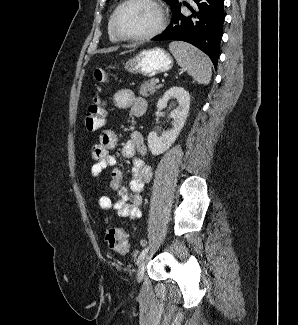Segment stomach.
Segmentation results:
<instances>
[{
    "label": "stomach",
    "mask_w": 298,
    "mask_h": 325,
    "mask_svg": "<svg viewBox=\"0 0 298 325\" xmlns=\"http://www.w3.org/2000/svg\"><path fill=\"white\" fill-rule=\"evenodd\" d=\"M173 64L174 60L165 48L153 46V48H140L124 62V68L130 74L156 76L160 72L171 70Z\"/></svg>",
    "instance_id": "1"
}]
</instances>
